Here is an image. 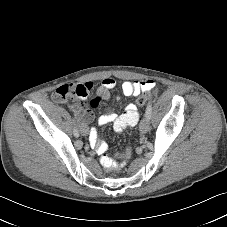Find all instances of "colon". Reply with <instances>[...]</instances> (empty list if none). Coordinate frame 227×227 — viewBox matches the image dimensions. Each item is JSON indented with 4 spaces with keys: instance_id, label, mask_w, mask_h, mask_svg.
I'll return each mask as SVG.
<instances>
[{
    "instance_id": "colon-1",
    "label": "colon",
    "mask_w": 227,
    "mask_h": 227,
    "mask_svg": "<svg viewBox=\"0 0 227 227\" xmlns=\"http://www.w3.org/2000/svg\"><path fill=\"white\" fill-rule=\"evenodd\" d=\"M81 93V88L79 86H75L73 84H67V85H63L61 87H59L55 93H54V98L56 100H60V99H67V98H71L74 95L80 94ZM153 92L152 91H147L146 94L140 96L137 99V104L138 105H143L146 103V101L152 96ZM103 99L101 97H97L95 98L92 102H91V108H97L101 101ZM131 152L130 151H126L125 153H123L120 158H122L123 160H126L129 156H130ZM101 161L102 164L104 165V167H106L107 169H117L121 166V163L118 162V160L108 154H104L101 156Z\"/></svg>"
}]
</instances>
